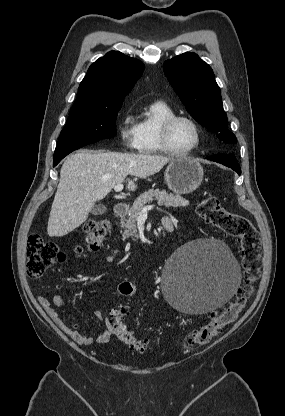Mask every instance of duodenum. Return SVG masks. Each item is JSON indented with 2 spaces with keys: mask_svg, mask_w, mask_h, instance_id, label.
<instances>
[{
  "mask_svg": "<svg viewBox=\"0 0 285 416\" xmlns=\"http://www.w3.org/2000/svg\"><path fill=\"white\" fill-rule=\"evenodd\" d=\"M128 210H129V207L127 204L117 203L114 206V215L118 218L124 217L128 213ZM162 224L168 232L173 231L174 225H173V221L170 218L168 217L164 218L162 221Z\"/></svg>",
  "mask_w": 285,
  "mask_h": 416,
  "instance_id": "obj_1",
  "label": "duodenum"
}]
</instances>
